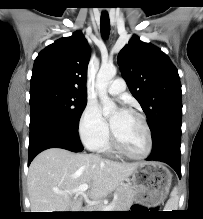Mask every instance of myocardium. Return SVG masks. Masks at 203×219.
Listing matches in <instances>:
<instances>
[{
  "label": "myocardium",
  "mask_w": 203,
  "mask_h": 219,
  "mask_svg": "<svg viewBox=\"0 0 203 219\" xmlns=\"http://www.w3.org/2000/svg\"><path fill=\"white\" fill-rule=\"evenodd\" d=\"M129 113L133 114L134 116H136L137 118L140 119V121L142 122L145 132H146V148L144 150L143 153L141 154H134L130 151H128L123 144L120 142V140L118 139V137L116 136L113 128L111 127V137H112V143L114 145V147L124 156L130 158V159H134V160H143L146 159L150 156L151 152H152V148H153V139H152V132L150 129V126L145 118V116L136 111V110H129Z\"/></svg>",
  "instance_id": "f54148a6"
}]
</instances>
